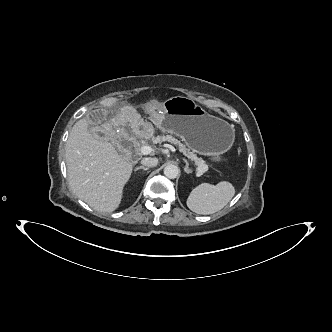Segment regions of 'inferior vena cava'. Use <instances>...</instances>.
<instances>
[{
  "instance_id": "obj_1",
  "label": "inferior vena cava",
  "mask_w": 332,
  "mask_h": 332,
  "mask_svg": "<svg viewBox=\"0 0 332 332\" xmlns=\"http://www.w3.org/2000/svg\"><path fill=\"white\" fill-rule=\"evenodd\" d=\"M141 163L147 167H155L158 165V159L156 157H146L141 160Z\"/></svg>"
}]
</instances>
